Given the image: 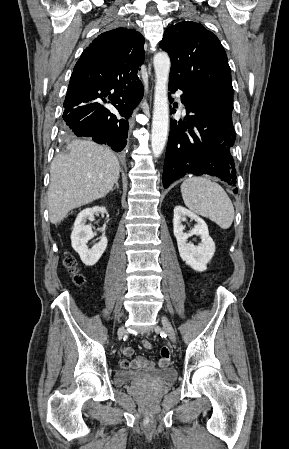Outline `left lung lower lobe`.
Masks as SVG:
<instances>
[{
    "label": "left lung lower lobe",
    "instance_id": "0a47b994",
    "mask_svg": "<svg viewBox=\"0 0 289 449\" xmlns=\"http://www.w3.org/2000/svg\"><path fill=\"white\" fill-rule=\"evenodd\" d=\"M178 89L183 91L181 101L187 115L185 122L171 120L164 188L187 174L215 176L234 186L237 176L231 155L235 141L232 117L204 103L193 87L170 80L169 90L174 93Z\"/></svg>",
    "mask_w": 289,
    "mask_h": 449
}]
</instances>
